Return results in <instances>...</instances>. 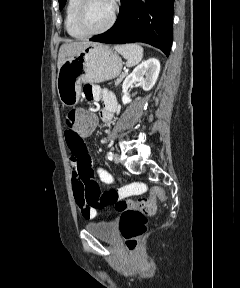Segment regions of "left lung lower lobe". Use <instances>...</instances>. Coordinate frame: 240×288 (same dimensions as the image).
<instances>
[{
    "label": "left lung lower lobe",
    "mask_w": 240,
    "mask_h": 288,
    "mask_svg": "<svg viewBox=\"0 0 240 288\" xmlns=\"http://www.w3.org/2000/svg\"><path fill=\"white\" fill-rule=\"evenodd\" d=\"M174 0H121L115 24L91 41L124 44L143 42L169 55L173 33Z\"/></svg>",
    "instance_id": "0a47b994"
}]
</instances>
